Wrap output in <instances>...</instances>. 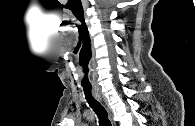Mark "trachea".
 Masks as SVG:
<instances>
[{
  "label": "trachea",
  "mask_w": 195,
  "mask_h": 126,
  "mask_svg": "<svg viewBox=\"0 0 195 126\" xmlns=\"http://www.w3.org/2000/svg\"><path fill=\"white\" fill-rule=\"evenodd\" d=\"M84 94L89 106L94 110L99 119L100 126H111V122L108 119V113L105 108L93 97L91 87H83Z\"/></svg>",
  "instance_id": "trachea-1"
}]
</instances>
